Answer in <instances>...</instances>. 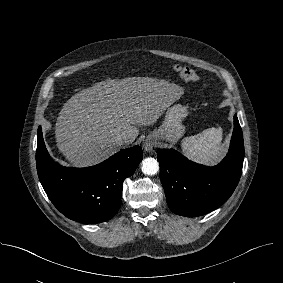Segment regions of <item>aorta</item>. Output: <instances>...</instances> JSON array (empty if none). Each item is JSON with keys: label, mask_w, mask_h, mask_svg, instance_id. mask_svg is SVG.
I'll list each match as a JSON object with an SVG mask.
<instances>
[{"label": "aorta", "mask_w": 283, "mask_h": 283, "mask_svg": "<svg viewBox=\"0 0 283 283\" xmlns=\"http://www.w3.org/2000/svg\"><path fill=\"white\" fill-rule=\"evenodd\" d=\"M141 170L146 175H155L159 170V163L152 157L145 158L142 160Z\"/></svg>", "instance_id": "762f6f07"}]
</instances>
